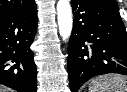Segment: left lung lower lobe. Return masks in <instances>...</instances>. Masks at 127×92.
<instances>
[{
  "instance_id": "obj_1",
  "label": "left lung lower lobe",
  "mask_w": 127,
  "mask_h": 92,
  "mask_svg": "<svg viewBox=\"0 0 127 92\" xmlns=\"http://www.w3.org/2000/svg\"><path fill=\"white\" fill-rule=\"evenodd\" d=\"M74 22L68 45L71 92L92 77L127 75V33L119 9L88 0H71Z\"/></svg>"
}]
</instances>
